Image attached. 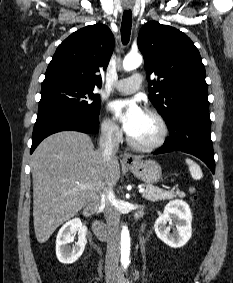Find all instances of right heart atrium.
Wrapping results in <instances>:
<instances>
[{
    "label": "right heart atrium",
    "mask_w": 233,
    "mask_h": 283,
    "mask_svg": "<svg viewBox=\"0 0 233 283\" xmlns=\"http://www.w3.org/2000/svg\"><path fill=\"white\" fill-rule=\"evenodd\" d=\"M100 129L104 137L112 141H116L120 137V128L114 119L105 116L100 122Z\"/></svg>",
    "instance_id": "right-heart-atrium-1"
}]
</instances>
